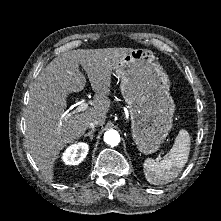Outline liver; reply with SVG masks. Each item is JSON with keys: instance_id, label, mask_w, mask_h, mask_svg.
<instances>
[{"instance_id": "1", "label": "liver", "mask_w": 221, "mask_h": 221, "mask_svg": "<svg viewBox=\"0 0 221 221\" xmlns=\"http://www.w3.org/2000/svg\"><path fill=\"white\" fill-rule=\"evenodd\" d=\"M132 50L122 47L66 51L53 59L33 82L25 113V137L35 164L47 180H53L60 151L79 139L89 122L98 118L99 125L105 123L111 105L108 96L112 71ZM79 64L96 94L85 112L66 117L68 94L80 92L86 85Z\"/></svg>"}]
</instances>
